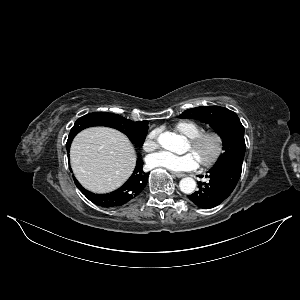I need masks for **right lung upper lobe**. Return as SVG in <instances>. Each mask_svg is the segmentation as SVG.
<instances>
[{"label": "right lung upper lobe", "mask_w": 300, "mask_h": 300, "mask_svg": "<svg viewBox=\"0 0 300 300\" xmlns=\"http://www.w3.org/2000/svg\"><path fill=\"white\" fill-rule=\"evenodd\" d=\"M144 122H146L145 120L144 121H138V122H135L137 124H143Z\"/></svg>", "instance_id": "cb5924a9"}]
</instances>
